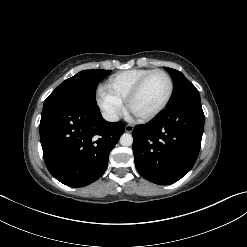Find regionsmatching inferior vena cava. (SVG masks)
I'll return each mask as SVG.
<instances>
[{
	"label": "inferior vena cava",
	"mask_w": 247,
	"mask_h": 247,
	"mask_svg": "<svg viewBox=\"0 0 247 247\" xmlns=\"http://www.w3.org/2000/svg\"><path fill=\"white\" fill-rule=\"evenodd\" d=\"M103 118L106 121L109 122H116L119 120V116L116 113H111V112H103L102 113Z\"/></svg>",
	"instance_id": "1"
}]
</instances>
